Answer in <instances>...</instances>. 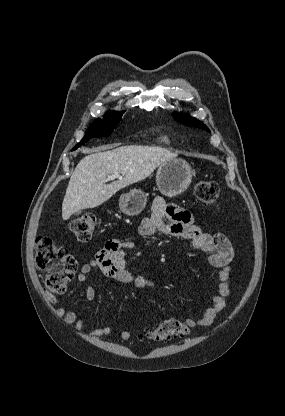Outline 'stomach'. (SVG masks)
Instances as JSON below:
<instances>
[{"label": "stomach", "mask_w": 285, "mask_h": 416, "mask_svg": "<svg viewBox=\"0 0 285 416\" xmlns=\"http://www.w3.org/2000/svg\"><path fill=\"white\" fill-rule=\"evenodd\" d=\"M194 172L181 158H173L161 164L156 174V184L163 196H177L187 190L192 182ZM147 196L141 190H130L129 194H122L119 200V208L126 216H138L144 210Z\"/></svg>", "instance_id": "0dacf381"}]
</instances>
